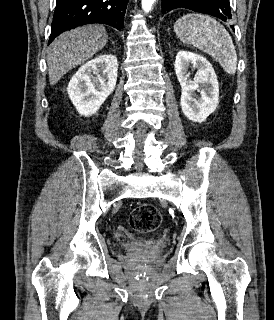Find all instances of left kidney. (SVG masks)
Segmentation results:
<instances>
[{"mask_svg": "<svg viewBox=\"0 0 274 320\" xmlns=\"http://www.w3.org/2000/svg\"><path fill=\"white\" fill-rule=\"evenodd\" d=\"M191 64L192 68H197L193 80H189L188 74ZM174 66L182 88L180 106L184 116L192 122H205L219 104V84L210 62L203 56L180 50Z\"/></svg>", "mask_w": 274, "mask_h": 320, "instance_id": "5707ae66", "label": "left kidney"}]
</instances>
